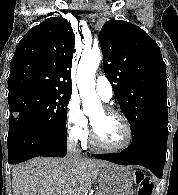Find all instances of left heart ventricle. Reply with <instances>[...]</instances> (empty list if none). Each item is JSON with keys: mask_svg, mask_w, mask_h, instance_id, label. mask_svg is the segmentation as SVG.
Segmentation results:
<instances>
[{"mask_svg": "<svg viewBox=\"0 0 178 195\" xmlns=\"http://www.w3.org/2000/svg\"><path fill=\"white\" fill-rule=\"evenodd\" d=\"M91 119L101 142L110 146H118L125 142L127 133L119 119L107 115L103 109L92 115Z\"/></svg>", "mask_w": 178, "mask_h": 195, "instance_id": "obj_1", "label": "left heart ventricle"}]
</instances>
